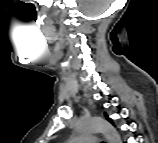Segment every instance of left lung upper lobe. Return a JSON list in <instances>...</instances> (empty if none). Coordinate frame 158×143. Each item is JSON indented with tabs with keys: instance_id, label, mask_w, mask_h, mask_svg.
Segmentation results:
<instances>
[{
	"instance_id": "obj_1",
	"label": "left lung upper lobe",
	"mask_w": 158,
	"mask_h": 143,
	"mask_svg": "<svg viewBox=\"0 0 158 143\" xmlns=\"http://www.w3.org/2000/svg\"><path fill=\"white\" fill-rule=\"evenodd\" d=\"M106 117L108 118V116H107V115H106ZM108 120L112 122V120H111L110 118H108Z\"/></svg>"
}]
</instances>
